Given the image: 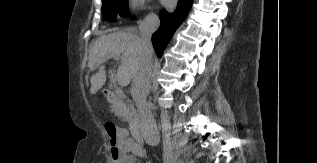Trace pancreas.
<instances>
[{"instance_id": "1", "label": "pancreas", "mask_w": 317, "mask_h": 163, "mask_svg": "<svg viewBox=\"0 0 317 163\" xmlns=\"http://www.w3.org/2000/svg\"><path fill=\"white\" fill-rule=\"evenodd\" d=\"M113 110L119 117L122 118L123 121L130 124L136 122L137 120L135 108L131 104H118L114 106Z\"/></svg>"}]
</instances>
